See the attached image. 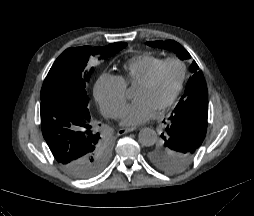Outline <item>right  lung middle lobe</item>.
I'll list each match as a JSON object with an SVG mask.
<instances>
[{"instance_id": "obj_1", "label": "right lung middle lobe", "mask_w": 254, "mask_h": 216, "mask_svg": "<svg viewBox=\"0 0 254 216\" xmlns=\"http://www.w3.org/2000/svg\"><path fill=\"white\" fill-rule=\"evenodd\" d=\"M126 46L124 42H117L104 47L83 46L66 49L56 59L45 78L41 89V101L51 96H64L87 108L88 96L85 87L93 70V68L89 70V61L93 57L106 59ZM93 132L100 140L98 168L101 171L110 157V144L103 134H99L97 127Z\"/></svg>"}]
</instances>
